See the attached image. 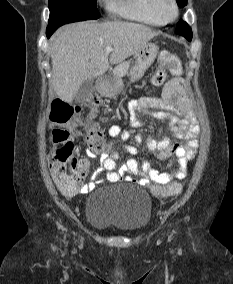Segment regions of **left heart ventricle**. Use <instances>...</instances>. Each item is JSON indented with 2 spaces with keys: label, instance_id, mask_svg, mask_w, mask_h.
Here are the masks:
<instances>
[{
  "label": "left heart ventricle",
  "instance_id": "1",
  "mask_svg": "<svg viewBox=\"0 0 233 284\" xmlns=\"http://www.w3.org/2000/svg\"><path fill=\"white\" fill-rule=\"evenodd\" d=\"M164 11H165L166 14H170L171 8L168 5H166L165 8H164Z\"/></svg>",
  "mask_w": 233,
  "mask_h": 284
}]
</instances>
